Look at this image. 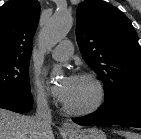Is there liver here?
I'll return each mask as SVG.
<instances>
[{
	"label": "liver",
	"instance_id": "obj_1",
	"mask_svg": "<svg viewBox=\"0 0 141 139\" xmlns=\"http://www.w3.org/2000/svg\"><path fill=\"white\" fill-rule=\"evenodd\" d=\"M34 117L0 108V139H34ZM46 139H54L53 132Z\"/></svg>",
	"mask_w": 141,
	"mask_h": 139
}]
</instances>
